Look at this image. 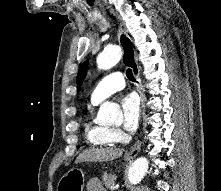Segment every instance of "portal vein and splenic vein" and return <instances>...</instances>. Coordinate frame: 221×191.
Wrapping results in <instances>:
<instances>
[{
    "instance_id": "1",
    "label": "portal vein and splenic vein",
    "mask_w": 221,
    "mask_h": 191,
    "mask_svg": "<svg viewBox=\"0 0 221 191\" xmlns=\"http://www.w3.org/2000/svg\"><path fill=\"white\" fill-rule=\"evenodd\" d=\"M119 187V185L117 184V185H113L112 187H111V189H117Z\"/></svg>"
}]
</instances>
